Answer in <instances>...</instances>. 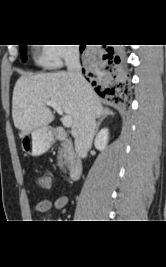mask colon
I'll use <instances>...</instances> for the list:
<instances>
[{"mask_svg": "<svg viewBox=\"0 0 166 267\" xmlns=\"http://www.w3.org/2000/svg\"><path fill=\"white\" fill-rule=\"evenodd\" d=\"M37 183L41 188H48L51 183V178L47 173H43L39 176Z\"/></svg>", "mask_w": 166, "mask_h": 267, "instance_id": "1", "label": "colon"}]
</instances>
